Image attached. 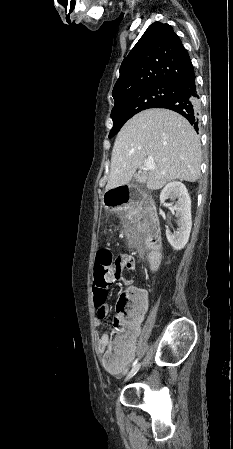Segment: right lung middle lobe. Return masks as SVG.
Returning a JSON list of instances; mask_svg holds the SVG:
<instances>
[{
  "mask_svg": "<svg viewBox=\"0 0 233 449\" xmlns=\"http://www.w3.org/2000/svg\"><path fill=\"white\" fill-rule=\"evenodd\" d=\"M173 90L170 85H152L115 99V106L112 109L111 118L113 128L109 138L116 135L125 122L138 112L154 108L162 101L172 96Z\"/></svg>",
  "mask_w": 233,
  "mask_h": 449,
  "instance_id": "obj_1",
  "label": "right lung middle lobe"
}]
</instances>
